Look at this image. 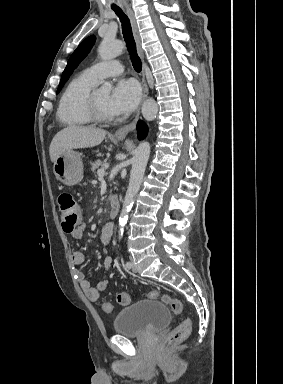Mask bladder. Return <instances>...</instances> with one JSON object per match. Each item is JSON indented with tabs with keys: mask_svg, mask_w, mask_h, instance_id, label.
I'll use <instances>...</instances> for the list:
<instances>
[{
	"mask_svg": "<svg viewBox=\"0 0 283 384\" xmlns=\"http://www.w3.org/2000/svg\"><path fill=\"white\" fill-rule=\"evenodd\" d=\"M170 317L167 306L160 301L138 299L120 308L113 322V330L116 335L127 338L144 337L164 328Z\"/></svg>",
	"mask_w": 283,
	"mask_h": 384,
	"instance_id": "bladder-1",
	"label": "bladder"
}]
</instances>
